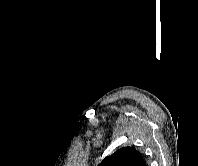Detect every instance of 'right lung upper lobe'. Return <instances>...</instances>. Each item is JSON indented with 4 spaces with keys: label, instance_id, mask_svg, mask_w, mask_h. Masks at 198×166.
<instances>
[{
    "label": "right lung upper lobe",
    "instance_id": "1",
    "mask_svg": "<svg viewBox=\"0 0 198 166\" xmlns=\"http://www.w3.org/2000/svg\"><path fill=\"white\" fill-rule=\"evenodd\" d=\"M99 166H146V162L135 148L123 147L104 159Z\"/></svg>",
    "mask_w": 198,
    "mask_h": 166
}]
</instances>
